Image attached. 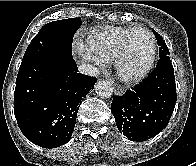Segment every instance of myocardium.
Masks as SVG:
<instances>
[{
  "label": "myocardium",
  "mask_w": 196,
  "mask_h": 166,
  "mask_svg": "<svg viewBox=\"0 0 196 166\" xmlns=\"http://www.w3.org/2000/svg\"><path fill=\"white\" fill-rule=\"evenodd\" d=\"M137 32H144L146 33L149 38H150V43H151V52L149 59L146 63V65L141 68L139 71L132 73V74H126L123 71V63L125 58L128 55L129 52V43L132 38V36L137 33ZM156 57H157V44H156V39L153 35V33L145 28V27H136L133 28L128 35L125 37L124 42L122 44L121 50L119 51L118 55L116 56L114 60V69L116 72V75L118 76L119 79L125 81V82H136L141 79H143L154 67L155 62H156Z\"/></svg>",
  "instance_id": "myocardium-1"
}]
</instances>
